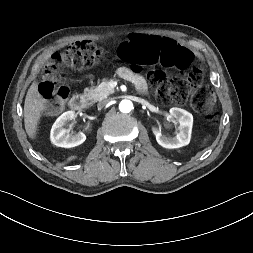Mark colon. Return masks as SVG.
Returning <instances> with one entry per match:
<instances>
[{
	"instance_id": "1",
	"label": "colon",
	"mask_w": 253,
	"mask_h": 253,
	"mask_svg": "<svg viewBox=\"0 0 253 253\" xmlns=\"http://www.w3.org/2000/svg\"><path fill=\"white\" fill-rule=\"evenodd\" d=\"M112 60L127 62L134 71H138L140 65L180 70L172 77L160 70L150 71L148 81L162 102L182 103L190 97L196 111L208 120L214 118L216 98L203 85L204 72L194 63L192 52L177 41L155 34L132 36L127 43L120 45L115 55L87 41L72 43L63 53L54 54L45 66L39 84L41 96L49 102L46 109L57 111L69 95L64 74L66 67H90Z\"/></svg>"
}]
</instances>
